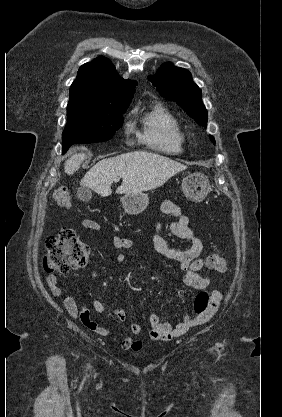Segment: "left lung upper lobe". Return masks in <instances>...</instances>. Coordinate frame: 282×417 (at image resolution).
Listing matches in <instances>:
<instances>
[{"instance_id":"left-lung-upper-lobe-1","label":"left lung upper lobe","mask_w":282,"mask_h":417,"mask_svg":"<svg viewBox=\"0 0 282 417\" xmlns=\"http://www.w3.org/2000/svg\"><path fill=\"white\" fill-rule=\"evenodd\" d=\"M148 79L163 97L175 101L200 125H207V111L202 103L201 89L193 82L188 70L165 63L155 76ZM209 137L215 143L214 138Z\"/></svg>"}]
</instances>
